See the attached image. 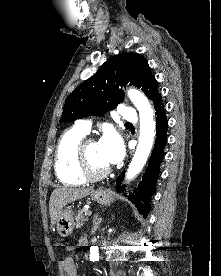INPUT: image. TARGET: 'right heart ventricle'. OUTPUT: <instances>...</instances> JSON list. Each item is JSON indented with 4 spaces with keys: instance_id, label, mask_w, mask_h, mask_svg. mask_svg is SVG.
Listing matches in <instances>:
<instances>
[{
    "instance_id": "1",
    "label": "right heart ventricle",
    "mask_w": 221,
    "mask_h": 276,
    "mask_svg": "<svg viewBox=\"0 0 221 276\" xmlns=\"http://www.w3.org/2000/svg\"><path fill=\"white\" fill-rule=\"evenodd\" d=\"M85 133L78 128L67 130L59 139L55 154V170L61 182L79 185L86 181L77 159V148Z\"/></svg>"
}]
</instances>
